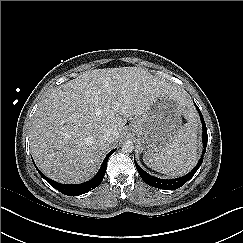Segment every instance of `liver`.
I'll return each mask as SVG.
<instances>
[{
    "label": "liver",
    "mask_w": 243,
    "mask_h": 243,
    "mask_svg": "<svg viewBox=\"0 0 243 243\" xmlns=\"http://www.w3.org/2000/svg\"><path fill=\"white\" fill-rule=\"evenodd\" d=\"M160 96L188 106L181 88L139 67L86 71L46 98L30 129V150L42 172L60 183L77 184L93 177L111 144L122 137L128 119H136ZM113 129L115 139L103 133Z\"/></svg>",
    "instance_id": "obj_1"
}]
</instances>
